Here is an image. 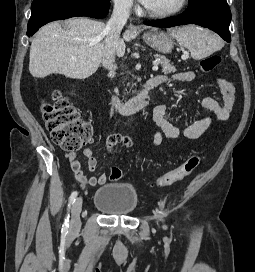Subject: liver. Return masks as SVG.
Returning <instances> with one entry per match:
<instances>
[{
  "instance_id": "obj_1",
  "label": "liver",
  "mask_w": 255,
  "mask_h": 272,
  "mask_svg": "<svg viewBox=\"0 0 255 272\" xmlns=\"http://www.w3.org/2000/svg\"><path fill=\"white\" fill-rule=\"evenodd\" d=\"M61 23H49L37 32L30 47L29 71L35 78L62 74L68 78L85 79L95 73L106 47V25L86 17H75ZM146 28V27H144ZM141 31L127 29L119 39L115 54L125 53L124 41L134 39Z\"/></svg>"
}]
</instances>
